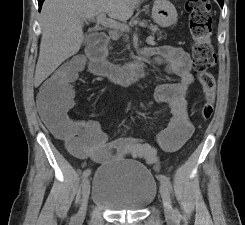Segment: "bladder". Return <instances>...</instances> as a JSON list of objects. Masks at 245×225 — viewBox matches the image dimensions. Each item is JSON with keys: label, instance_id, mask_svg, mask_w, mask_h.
Listing matches in <instances>:
<instances>
[{"label": "bladder", "instance_id": "bladder-1", "mask_svg": "<svg viewBox=\"0 0 245 225\" xmlns=\"http://www.w3.org/2000/svg\"><path fill=\"white\" fill-rule=\"evenodd\" d=\"M92 202L112 212H138L157 194L151 171L133 159H122L100 167L92 178Z\"/></svg>", "mask_w": 245, "mask_h": 225}]
</instances>
